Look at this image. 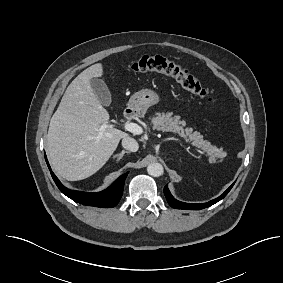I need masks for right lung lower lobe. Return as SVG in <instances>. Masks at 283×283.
<instances>
[{
  "mask_svg": "<svg viewBox=\"0 0 283 283\" xmlns=\"http://www.w3.org/2000/svg\"><path fill=\"white\" fill-rule=\"evenodd\" d=\"M45 159L48 168L50 170V173L52 175V178L55 181L58 188L63 194H65L73 201L84 205L96 206L101 208H110L118 204L123 193L124 182L128 175V172L120 176L109 188L101 192L89 193V192L73 191L62 185V183L58 180L55 174L51 171L46 155H45Z\"/></svg>",
  "mask_w": 283,
  "mask_h": 283,
  "instance_id": "obj_1",
  "label": "right lung lower lobe"
}]
</instances>
